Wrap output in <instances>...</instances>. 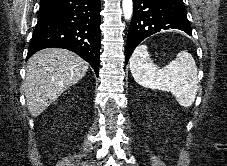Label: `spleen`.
Segmentation results:
<instances>
[{"instance_id":"3e777b00","label":"spleen","mask_w":227,"mask_h":166,"mask_svg":"<svg viewBox=\"0 0 227 166\" xmlns=\"http://www.w3.org/2000/svg\"><path fill=\"white\" fill-rule=\"evenodd\" d=\"M134 80L141 86L171 92L182 107H190L198 88L197 66L187 51H180L174 60L159 69L153 63L146 45H139L130 59Z\"/></svg>"}]
</instances>
